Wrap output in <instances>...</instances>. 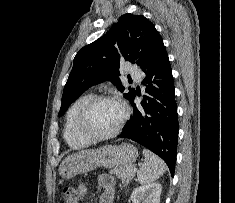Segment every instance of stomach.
I'll return each instance as SVG.
<instances>
[{"instance_id": "obj_1", "label": "stomach", "mask_w": 235, "mask_h": 203, "mask_svg": "<svg viewBox=\"0 0 235 203\" xmlns=\"http://www.w3.org/2000/svg\"><path fill=\"white\" fill-rule=\"evenodd\" d=\"M138 155L137 148L128 143L83 150L65 158L59 167V174L62 178L69 179L97 167L116 168L131 165Z\"/></svg>"}]
</instances>
